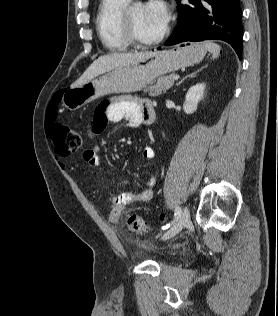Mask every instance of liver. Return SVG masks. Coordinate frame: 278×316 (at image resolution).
I'll use <instances>...</instances> for the list:
<instances>
[{
	"label": "liver",
	"instance_id": "liver-1",
	"mask_svg": "<svg viewBox=\"0 0 278 316\" xmlns=\"http://www.w3.org/2000/svg\"><path fill=\"white\" fill-rule=\"evenodd\" d=\"M155 54H157V52L114 53L103 55L95 60L86 69L83 75L71 85V87L80 86L103 73L113 71L126 65L138 63L144 59L154 56Z\"/></svg>",
	"mask_w": 278,
	"mask_h": 316
}]
</instances>
